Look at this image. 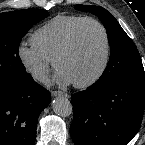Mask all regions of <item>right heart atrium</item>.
<instances>
[{
  "mask_svg": "<svg viewBox=\"0 0 145 145\" xmlns=\"http://www.w3.org/2000/svg\"><path fill=\"white\" fill-rule=\"evenodd\" d=\"M17 57L23 69L37 82H45L54 68V62L33 43L20 44L17 48Z\"/></svg>",
  "mask_w": 145,
  "mask_h": 145,
  "instance_id": "right-heart-atrium-1",
  "label": "right heart atrium"
}]
</instances>
